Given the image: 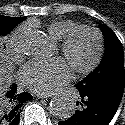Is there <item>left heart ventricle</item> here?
I'll list each match as a JSON object with an SVG mask.
<instances>
[{
  "mask_svg": "<svg viewBox=\"0 0 125 125\" xmlns=\"http://www.w3.org/2000/svg\"><path fill=\"white\" fill-rule=\"evenodd\" d=\"M95 39L89 33L82 34L75 42L69 55L65 58L70 67L73 64L83 65L90 60L95 51Z\"/></svg>",
  "mask_w": 125,
  "mask_h": 125,
  "instance_id": "left-heart-ventricle-1",
  "label": "left heart ventricle"
}]
</instances>
